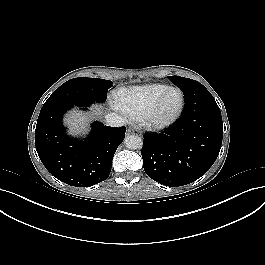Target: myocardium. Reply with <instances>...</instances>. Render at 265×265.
Instances as JSON below:
<instances>
[{
  "label": "myocardium",
  "instance_id": "obj_1",
  "mask_svg": "<svg viewBox=\"0 0 265 265\" xmlns=\"http://www.w3.org/2000/svg\"><path fill=\"white\" fill-rule=\"evenodd\" d=\"M170 91H176L180 95V102L176 110L167 117H160L158 110L165 96ZM185 106V96L183 91L175 86H168L153 102L147 114L141 121V125L153 131H161L171 127L181 116Z\"/></svg>",
  "mask_w": 265,
  "mask_h": 265
}]
</instances>
